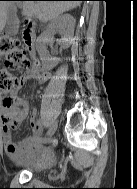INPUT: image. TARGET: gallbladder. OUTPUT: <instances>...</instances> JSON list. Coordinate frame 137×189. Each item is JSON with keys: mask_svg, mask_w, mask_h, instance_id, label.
Returning <instances> with one entry per match:
<instances>
[{"mask_svg": "<svg viewBox=\"0 0 137 189\" xmlns=\"http://www.w3.org/2000/svg\"><path fill=\"white\" fill-rule=\"evenodd\" d=\"M21 3H15L7 9V25L6 33L10 35H15L18 32L19 19L17 17V8H21Z\"/></svg>", "mask_w": 137, "mask_h": 189, "instance_id": "gallbladder-1", "label": "gallbladder"}]
</instances>
